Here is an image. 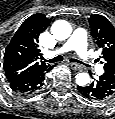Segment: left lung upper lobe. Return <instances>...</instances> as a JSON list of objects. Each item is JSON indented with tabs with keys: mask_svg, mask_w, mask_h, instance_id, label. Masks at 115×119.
Masks as SVG:
<instances>
[{
	"mask_svg": "<svg viewBox=\"0 0 115 119\" xmlns=\"http://www.w3.org/2000/svg\"><path fill=\"white\" fill-rule=\"evenodd\" d=\"M91 33L99 48L102 49L105 73L115 79V28L102 15L89 18Z\"/></svg>",
	"mask_w": 115,
	"mask_h": 119,
	"instance_id": "5c2ea615",
	"label": "left lung upper lobe"
}]
</instances>
